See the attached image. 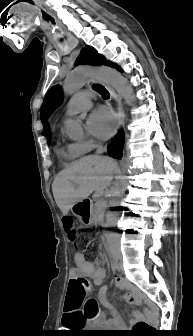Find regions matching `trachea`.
<instances>
[{"label": "trachea", "mask_w": 193, "mask_h": 336, "mask_svg": "<svg viewBox=\"0 0 193 336\" xmlns=\"http://www.w3.org/2000/svg\"><path fill=\"white\" fill-rule=\"evenodd\" d=\"M95 90H96L97 92H99L100 95H101L104 99L109 98V93H108V91L105 89L104 86H102V85H96V86H95Z\"/></svg>", "instance_id": "1"}]
</instances>
